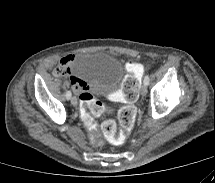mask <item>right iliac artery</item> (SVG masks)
I'll use <instances>...</instances> for the list:
<instances>
[{
  "label": "right iliac artery",
  "instance_id": "82829eb1",
  "mask_svg": "<svg viewBox=\"0 0 215 183\" xmlns=\"http://www.w3.org/2000/svg\"><path fill=\"white\" fill-rule=\"evenodd\" d=\"M71 96H72L71 92H70V91H68V92L66 93V98H67V99H70V98H71Z\"/></svg>",
  "mask_w": 215,
  "mask_h": 183
}]
</instances>
